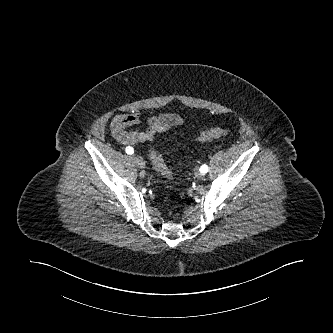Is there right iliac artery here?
I'll return each instance as SVG.
<instances>
[{"mask_svg": "<svg viewBox=\"0 0 333 333\" xmlns=\"http://www.w3.org/2000/svg\"><path fill=\"white\" fill-rule=\"evenodd\" d=\"M125 151H126L127 154H133L134 153V149L130 146L126 147Z\"/></svg>", "mask_w": 333, "mask_h": 333, "instance_id": "1", "label": "right iliac artery"}]
</instances>
